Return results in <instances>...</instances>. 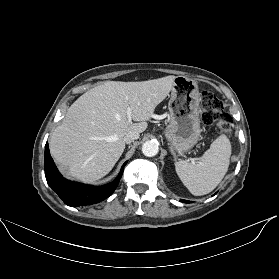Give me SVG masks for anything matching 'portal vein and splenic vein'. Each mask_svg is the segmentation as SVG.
Returning <instances> with one entry per match:
<instances>
[{"label":"portal vein and splenic vein","instance_id":"obj_1","mask_svg":"<svg viewBox=\"0 0 279 279\" xmlns=\"http://www.w3.org/2000/svg\"><path fill=\"white\" fill-rule=\"evenodd\" d=\"M132 110L130 108L127 109V119H128V122H131L132 118Z\"/></svg>","mask_w":279,"mask_h":279}]
</instances>
